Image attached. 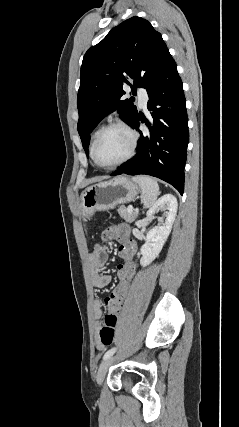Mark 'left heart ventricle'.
Instances as JSON below:
<instances>
[{"instance_id": "obj_1", "label": "left heart ventricle", "mask_w": 239, "mask_h": 427, "mask_svg": "<svg viewBox=\"0 0 239 427\" xmlns=\"http://www.w3.org/2000/svg\"><path fill=\"white\" fill-rule=\"evenodd\" d=\"M130 146V135L121 128H112L102 135L97 145V160L104 165H112L127 155Z\"/></svg>"}]
</instances>
